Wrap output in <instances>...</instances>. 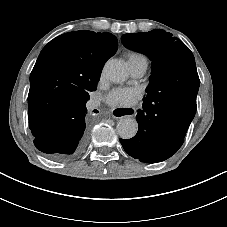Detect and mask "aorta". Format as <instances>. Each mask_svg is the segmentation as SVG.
Instances as JSON below:
<instances>
[{
    "label": "aorta",
    "mask_w": 227,
    "mask_h": 227,
    "mask_svg": "<svg viewBox=\"0 0 227 227\" xmlns=\"http://www.w3.org/2000/svg\"><path fill=\"white\" fill-rule=\"evenodd\" d=\"M106 78L114 83L124 82L128 78V71L124 63L116 59L108 60L103 68ZM138 131V124L133 118H122L117 123V132L123 139L133 138Z\"/></svg>",
    "instance_id": "762f6f07"
}]
</instances>
